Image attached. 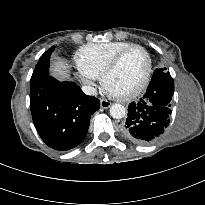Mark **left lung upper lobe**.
Masks as SVG:
<instances>
[{
  "instance_id": "1",
  "label": "left lung upper lobe",
  "mask_w": 205,
  "mask_h": 205,
  "mask_svg": "<svg viewBox=\"0 0 205 205\" xmlns=\"http://www.w3.org/2000/svg\"><path fill=\"white\" fill-rule=\"evenodd\" d=\"M155 91H161L162 94L160 93L153 94V92ZM173 93H174V81L170 73L166 71V68H161V69H156L154 71L151 82L143 98H150L156 95H162L160 99L165 97V99L167 98L166 104H170Z\"/></svg>"
}]
</instances>
